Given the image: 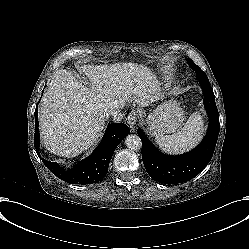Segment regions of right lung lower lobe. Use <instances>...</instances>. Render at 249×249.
<instances>
[{
	"mask_svg": "<svg viewBox=\"0 0 249 249\" xmlns=\"http://www.w3.org/2000/svg\"><path fill=\"white\" fill-rule=\"evenodd\" d=\"M130 133L126 124L113 123L107 126L106 132L94 152L85 160L77 163L72 170L65 171L55 162L42 159L45 166L60 179L70 184H92L101 181L108 171V166L117 145ZM40 146L38 115L35 110V149ZM40 157V155L38 154Z\"/></svg>",
	"mask_w": 249,
	"mask_h": 249,
	"instance_id": "obj_1",
	"label": "right lung lower lobe"
}]
</instances>
